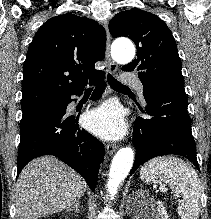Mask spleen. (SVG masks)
Masks as SVG:
<instances>
[{"label": "spleen", "instance_id": "3e777b00", "mask_svg": "<svg viewBox=\"0 0 211 219\" xmlns=\"http://www.w3.org/2000/svg\"><path fill=\"white\" fill-rule=\"evenodd\" d=\"M140 178L147 184L168 183L177 196H182L178 206L181 219H199L200 181L189 164L173 156L154 158L141 167Z\"/></svg>", "mask_w": 211, "mask_h": 219}]
</instances>
